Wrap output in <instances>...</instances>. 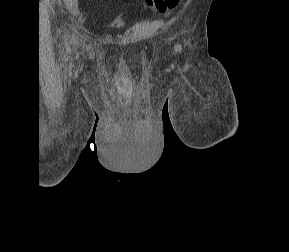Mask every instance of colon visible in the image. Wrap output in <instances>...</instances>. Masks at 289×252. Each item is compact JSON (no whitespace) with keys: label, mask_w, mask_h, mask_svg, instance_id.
<instances>
[{"label":"colon","mask_w":289,"mask_h":252,"mask_svg":"<svg viewBox=\"0 0 289 252\" xmlns=\"http://www.w3.org/2000/svg\"><path fill=\"white\" fill-rule=\"evenodd\" d=\"M145 4L158 11L165 12L178 6L180 0H144Z\"/></svg>","instance_id":"obj_1"}]
</instances>
